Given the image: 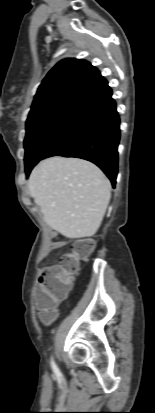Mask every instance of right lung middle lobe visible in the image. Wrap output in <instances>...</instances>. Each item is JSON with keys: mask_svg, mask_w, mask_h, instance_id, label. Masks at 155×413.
Here are the masks:
<instances>
[{"mask_svg": "<svg viewBox=\"0 0 155 413\" xmlns=\"http://www.w3.org/2000/svg\"><path fill=\"white\" fill-rule=\"evenodd\" d=\"M78 105L71 104L46 112L26 123L25 170L31 169L58 140Z\"/></svg>", "mask_w": 155, "mask_h": 413, "instance_id": "dd1d6c3e", "label": "right lung middle lobe"}]
</instances>
